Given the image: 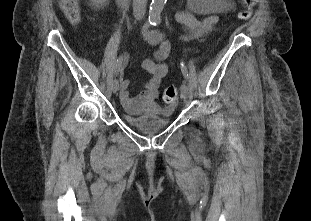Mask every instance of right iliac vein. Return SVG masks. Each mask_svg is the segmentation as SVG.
<instances>
[{
  "label": "right iliac vein",
  "instance_id": "63e3f726",
  "mask_svg": "<svg viewBox=\"0 0 311 221\" xmlns=\"http://www.w3.org/2000/svg\"><path fill=\"white\" fill-rule=\"evenodd\" d=\"M119 89V82L117 79H115L113 82H112V91L113 93H116Z\"/></svg>",
  "mask_w": 311,
  "mask_h": 221
}]
</instances>
